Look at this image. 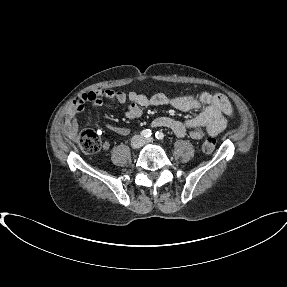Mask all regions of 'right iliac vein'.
I'll list each match as a JSON object with an SVG mask.
<instances>
[{
  "label": "right iliac vein",
  "instance_id": "1",
  "mask_svg": "<svg viewBox=\"0 0 287 287\" xmlns=\"http://www.w3.org/2000/svg\"><path fill=\"white\" fill-rule=\"evenodd\" d=\"M142 145V139L140 136H135L131 140V147L133 149H138Z\"/></svg>",
  "mask_w": 287,
  "mask_h": 287
}]
</instances>
